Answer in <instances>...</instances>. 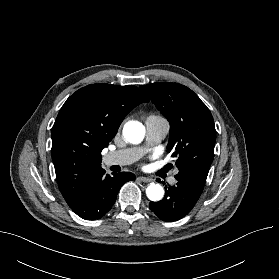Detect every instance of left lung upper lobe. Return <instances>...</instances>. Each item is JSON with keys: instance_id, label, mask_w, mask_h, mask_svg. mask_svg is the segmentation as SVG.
I'll use <instances>...</instances> for the list:
<instances>
[{"instance_id": "5c2ea615", "label": "left lung upper lobe", "mask_w": 279, "mask_h": 279, "mask_svg": "<svg viewBox=\"0 0 279 279\" xmlns=\"http://www.w3.org/2000/svg\"><path fill=\"white\" fill-rule=\"evenodd\" d=\"M140 88L168 119L167 151L176 159L177 181L203 189L214 158L216 130L207 106L178 83H152Z\"/></svg>"}]
</instances>
